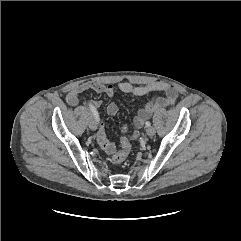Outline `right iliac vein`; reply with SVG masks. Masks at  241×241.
Here are the masks:
<instances>
[{
	"label": "right iliac vein",
	"instance_id": "63e3f726",
	"mask_svg": "<svg viewBox=\"0 0 241 241\" xmlns=\"http://www.w3.org/2000/svg\"><path fill=\"white\" fill-rule=\"evenodd\" d=\"M89 127L91 130H96L97 129V121L95 118H91L89 121Z\"/></svg>",
	"mask_w": 241,
	"mask_h": 241
}]
</instances>
